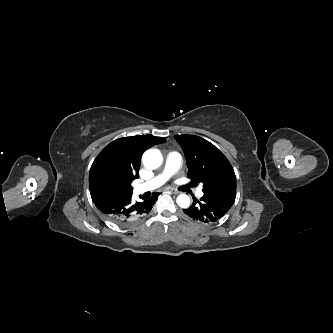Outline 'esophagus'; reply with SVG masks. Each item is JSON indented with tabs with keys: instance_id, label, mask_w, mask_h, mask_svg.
Listing matches in <instances>:
<instances>
[{
	"instance_id": "obj_1",
	"label": "esophagus",
	"mask_w": 333,
	"mask_h": 333,
	"mask_svg": "<svg viewBox=\"0 0 333 333\" xmlns=\"http://www.w3.org/2000/svg\"><path fill=\"white\" fill-rule=\"evenodd\" d=\"M168 191L171 192V193H173V194H176V195L180 193L179 191H177V190H175L173 188L168 189Z\"/></svg>"
}]
</instances>
